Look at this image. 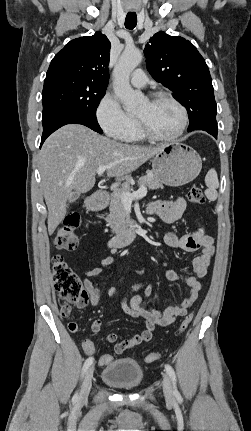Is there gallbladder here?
Listing matches in <instances>:
<instances>
[{
    "instance_id": "1",
    "label": "gallbladder",
    "mask_w": 251,
    "mask_h": 431,
    "mask_svg": "<svg viewBox=\"0 0 251 431\" xmlns=\"http://www.w3.org/2000/svg\"><path fill=\"white\" fill-rule=\"evenodd\" d=\"M80 196V193L74 192L69 198V204L75 202Z\"/></svg>"
}]
</instances>
